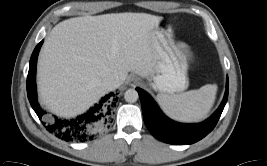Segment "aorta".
<instances>
[{"label": "aorta", "mask_w": 267, "mask_h": 166, "mask_svg": "<svg viewBox=\"0 0 267 166\" xmlns=\"http://www.w3.org/2000/svg\"><path fill=\"white\" fill-rule=\"evenodd\" d=\"M124 98L126 102L133 103L138 100L139 95L135 89H128L124 94Z\"/></svg>", "instance_id": "obj_1"}]
</instances>
